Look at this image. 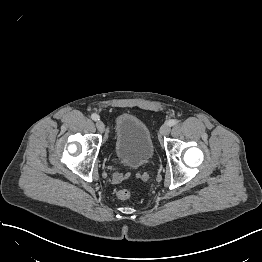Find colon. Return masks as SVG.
Masks as SVG:
<instances>
[{"label": "colon", "mask_w": 262, "mask_h": 262, "mask_svg": "<svg viewBox=\"0 0 262 262\" xmlns=\"http://www.w3.org/2000/svg\"><path fill=\"white\" fill-rule=\"evenodd\" d=\"M116 196L120 200H129L131 198V192L128 189L120 188L117 190Z\"/></svg>", "instance_id": "obj_1"}]
</instances>
